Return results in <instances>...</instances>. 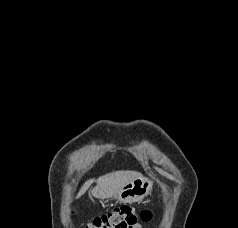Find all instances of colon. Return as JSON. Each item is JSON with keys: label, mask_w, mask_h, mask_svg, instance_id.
<instances>
[{"label": "colon", "mask_w": 238, "mask_h": 228, "mask_svg": "<svg viewBox=\"0 0 238 228\" xmlns=\"http://www.w3.org/2000/svg\"><path fill=\"white\" fill-rule=\"evenodd\" d=\"M151 216L147 209L137 210L130 205H121L94 217L83 228H138Z\"/></svg>", "instance_id": "1"}]
</instances>
